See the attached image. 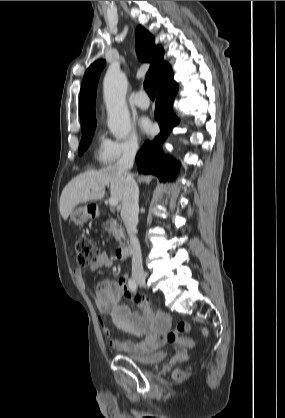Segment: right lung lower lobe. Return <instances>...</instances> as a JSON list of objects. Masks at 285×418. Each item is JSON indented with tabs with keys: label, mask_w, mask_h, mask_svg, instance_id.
Segmentation results:
<instances>
[{
	"label": "right lung lower lobe",
	"mask_w": 285,
	"mask_h": 418,
	"mask_svg": "<svg viewBox=\"0 0 285 418\" xmlns=\"http://www.w3.org/2000/svg\"><path fill=\"white\" fill-rule=\"evenodd\" d=\"M157 91L154 116L160 125L161 132L153 141L145 142L137 153L136 163L140 173L154 174L160 181H166L173 180L179 170V163L164 155L161 148L169 132L179 123L172 109L178 85L172 77Z\"/></svg>",
	"instance_id": "1"
}]
</instances>
